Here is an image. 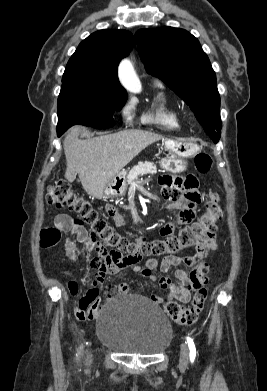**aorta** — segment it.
<instances>
[{
  "instance_id": "762f6f07",
  "label": "aorta",
  "mask_w": 267,
  "mask_h": 391,
  "mask_svg": "<svg viewBox=\"0 0 267 391\" xmlns=\"http://www.w3.org/2000/svg\"><path fill=\"white\" fill-rule=\"evenodd\" d=\"M119 78L128 91L132 93H139L141 91V83L129 59L121 62L119 66Z\"/></svg>"
}]
</instances>
